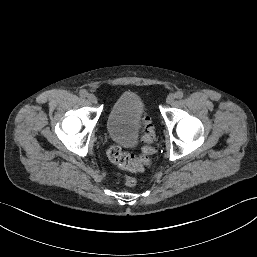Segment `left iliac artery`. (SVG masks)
<instances>
[{"label": "left iliac artery", "instance_id": "44dca946", "mask_svg": "<svg viewBox=\"0 0 257 257\" xmlns=\"http://www.w3.org/2000/svg\"><path fill=\"white\" fill-rule=\"evenodd\" d=\"M183 96H184V94H183V92H181V91H177V92L175 93V98H177V99H181V98H183Z\"/></svg>", "mask_w": 257, "mask_h": 257}]
</instances>
